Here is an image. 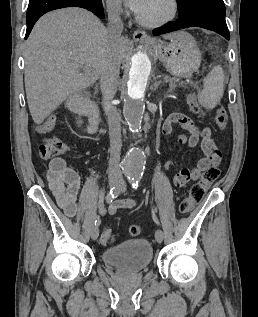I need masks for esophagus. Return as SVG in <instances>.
<instances>
[{
	"label": "esophagus",
	"instance_id": "1",
	"mask_svg": "<svg viewBox=\"0 0 258 317\" xmlns=\"http://www.w3.org/2000/svg\"><path fill=\"white\" fill-rule=\"evenodd\" d=\"M133 39L144 40V39H151V37H149V35H147V33L144 32L143 30H135V32L133 33Z\"/></svg>",
	"mask_w": 258,
	"mask_h": 317
}]
</instances>
